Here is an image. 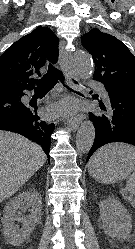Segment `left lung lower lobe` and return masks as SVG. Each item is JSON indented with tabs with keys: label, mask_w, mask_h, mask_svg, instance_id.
<instances>
[{
	"label": "left lung lower lobe",
	"mask_w": 135,
	"mask_h": 249,
	"mask_svg": "<svg viewBox=\"0 0 135 249\" xmlns=\"http://www.w3.org/2000/svg\"><path fill=\"white\" fill-rule=\"evenodd\" d=\"M107 92V106L102 102L99 104L103 112L90 113L89 116L94 123L96 134L87 161L105 144L126 142L135 145V96L109 90Z\"/></svg>",
	"instance_id": "left-lung-lower-lobe-1"
}]
</instances>
